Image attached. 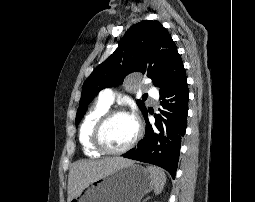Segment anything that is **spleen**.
Segmentation results:
<instances>
[{
  "label": "spleen",
  "mask_w": 255,
  "mask_h": 202,
  "mask_svg": "<svg viewBox=\"0 0 255 202\" xmlns=\"http://www.w3.org/2000/svg\"><path fill=\"white\" fill-rule=\"evenodd\" d=\"M147 170L153 177L154 181V192L155 194H160L166 183V175L164 171L158 167L148 166Z\"/></svg>",
  "instance_id": "1"
}]
</instances>
